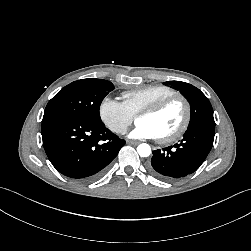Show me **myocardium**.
Here are the masks:
<instances>
[{
	"label": "myocardium",
	"instance_id": "obj_1",
	"mask_svg": "<svg viewBox=\"0 0 251 251\" xmlns=\"http://www.w3.org/2000/svg\"><path fill=\"white\" fill-rule=\"evenodd\" d=\"M175 101H180L183 104L184 117L180 126L174 132L163 137H158V141L162 144H167L178 140L187 131L191 121V104L188 101V99L181 94L178 93L173 94L145 108L138 114L137 117L139 118L141 116H146V115H156L162 112L164 109H166L169 105H171Z\"/></svg>",
	"mask_w": 251,
	"mask_h": 251
}]
</instances>
